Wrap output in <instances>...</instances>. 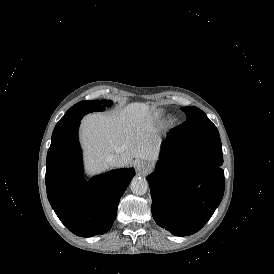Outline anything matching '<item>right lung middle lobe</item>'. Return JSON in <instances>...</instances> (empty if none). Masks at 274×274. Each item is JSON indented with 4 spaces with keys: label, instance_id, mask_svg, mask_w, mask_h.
Listing matches in <instances>:
<instances>
[{
    "label": "right lung middle lobe",
    "instance_id": "1",
    "mask_svg": "<svg viewBox=\"0 0 274 274\" xmlns=\"http://www.w3.org/2000/svg\"><path fill=\"white\" fill-rule=\"evenodd\" d=\"M111 105V100L81 101L75 104L66 112V114L55 126L52 139L59 136L66 129H68L79 115L84 116L85 114L93 111H103L105 107H109Z\"/></svg>",
    "mask_w": 274,
    "mask_h": 274
}]
</instances>
